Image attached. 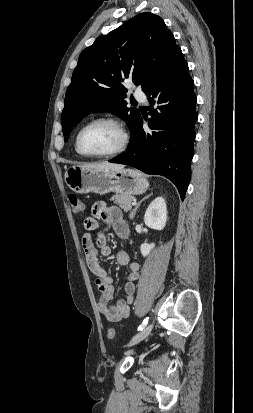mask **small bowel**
Segmentation results:
<instances>
[{"mask_svg": "<svg viewBox=\"0 0 253 413\" xmlns=\"http://www.w3.org/2000/svg\"><path fill=\"white\" fill-rule=\"evenodd\" d=\"M99 220L111 226L120 238L128 237L129 228L123 219L122 211L116 206H107L103 201L93 204L90 215L83 222L86 233L82 238V248L87 266L94 274L95 284L100 292V298L97 303L98 310L108 321L117 322L128 318L131 314L136 282L140 276V265L138 262L131 261L127 252L121 251L118 253L117 262L121 266H126L129 273L124 285L125 298L110 305L115 295L113 277L102 264L98 250L102 256H109L111 248L104 232H98L95 238L91 234L92 231L98 228Z\"/></svg>", "mask_w": 253, "mask_h": 413, "instance_id": "1", "label": "small bowel"}]
</instances>
